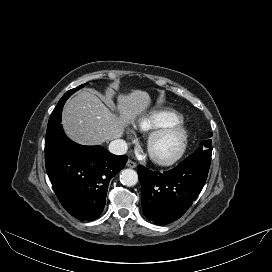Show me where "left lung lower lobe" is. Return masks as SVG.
Instances as JSON below:
<instances>
[{"label": "left lung lower lobe", "mask_w": 272, "mask_h": 272, "mask_svg": "<svg viewBox=\"0 0 272 272\" xmlns=\"http://www.w3.org/2000/svg\"><path fill=\"white\" fill-rule=\"evenodd\" d=\"M211 154L212 148L194 153L174 169L163 173L139 165L137 172L144 215L158 225L179 219L206 182Z\"/></svg>", "instance_id": "0a47b994"}]
</instances>
